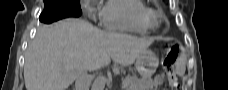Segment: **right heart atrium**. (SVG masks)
Here are the masks:
<instances>
[{
    "label": "right heart atrium",
    "mask_w": 228,
    "mask_h": 90,
    "mask_svg": "<svg viewBox=\"0 0 228 90\" xmlns=\"http://www.w3.org/2000/svg\"><path fill=\"white\" fill-rule=\"evenodd\" d=\"M94 3H95V1H93V0L83 1V5L85 6V11L88 14V16L91 18H93L92 7H93Z\"/></svg>",
    "instance_id": "d8ad5b80"
}]
</instances>
